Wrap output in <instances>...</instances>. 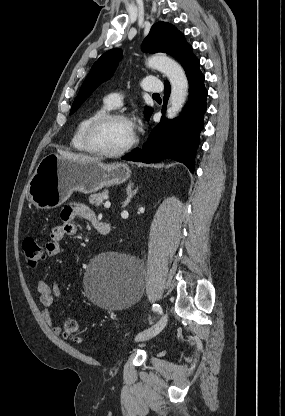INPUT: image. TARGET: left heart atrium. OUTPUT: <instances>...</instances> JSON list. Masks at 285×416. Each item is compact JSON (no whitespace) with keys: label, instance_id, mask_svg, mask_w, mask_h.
<instances>
[{"label":"left heart atrium","instance_id":"left-heart-atrium-1","mask_svg":"<svg viewBox=\"0 0 285 416\" xmlns=\"http://www.w3.org/2000/svg\"><path fill=\"white\" fill-rule=\"evenodd\" d=\"M129 130H130L131 135H133L134 134V124L132 122L129 123Z\"/></svg>","mask_w":285,"mask_h":416}]
</instances>
